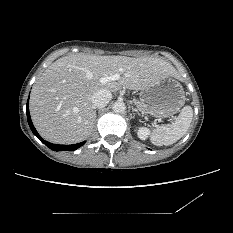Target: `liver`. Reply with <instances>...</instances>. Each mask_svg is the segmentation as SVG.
<instances>
[{"label":"liver","mask_w":233,"mask_h":233,"mask_svg":"<svg viewBox=\"0 0 233 233\" xmlns=\"http://www.w3.org/2000/svg\"><path fill=\"white\" fill-rule=\"evenodd\" d=\"M115 74L121 75L117 81L100 83L102 77ZM167 77L177 78V70L159 58L70 54L53 62L35 82L30 114L44 139L78 143L93 130L96 113L91 98L96 91L143 90Z\"/></svg>","instance_id":"6515ba94"}]
</instances>
